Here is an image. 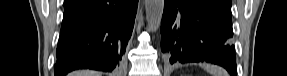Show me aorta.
Wrapping results in <instances>:
<instances>
[{"instance_id": "aorta-1", "label": "aorta", "mask_w": 287, "mask_h": 76, "mask_svg": "<svg viewBox=\"0 0 287 76\" xmlns=\"http://www.w3.org/2000/svg\"><path fill=\"white\" fill-rule=\"evenodd\" d=\"M146 20L152 32H156L161 25L164 0H145Z\"/></svg>"}]
</instances>
